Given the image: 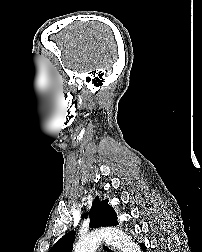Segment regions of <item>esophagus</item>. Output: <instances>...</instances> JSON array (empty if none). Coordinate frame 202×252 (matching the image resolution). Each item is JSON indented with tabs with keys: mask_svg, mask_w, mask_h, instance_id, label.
<instances>
[{
	"mask_svg": "<svg viewBox=\"0 0 202 252\" xmlns=\"http://www.w3.org/2000/svg\"><path fill=\"white\" fill-rule=\"evenodd\" d=\"M103 252H116L109 244L103 243L102 244Z\"/></svg>",
	"mask_w": 202,
	"mask_h": 252,
	"instance_id": "esophagus-1",
	"label": "esophagus"
}]
</instances>
